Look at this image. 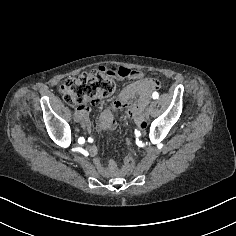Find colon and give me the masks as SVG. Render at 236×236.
Masks as SVG:
<instances>
[{"instance_id": "obj_1", "label": "colon", "mask_w": 236, "mask_h": 236, "mask_svg": "<svg viewBox=\"0 0 236 236\" xmlns=\"http://www.w3.org/2000/svg\"><path fill=\"white\" fill-rule=\"evenodd\" d=\"M130 75V69L127 68L100 67L82 73L78 77L67 78L60 85V91L65 102L74 106L111 95L115 90L116 77H128ZM134 167V158L131 154H128L123 165V170L126 174H130Z\"/></svg>"}]
</instances>
